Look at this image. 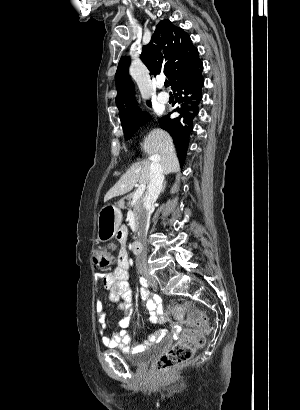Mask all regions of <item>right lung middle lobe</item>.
Segmentation results:
<instances>
[{
	"label": "right lung middle lobe",
	"instance_id": "dd1d6c3e",
	"mask_svg": "<svg viewBox=\"0 0 300 410\" xmlns=\"http://www.w3.org/2000/svg\"><path fill=\"white\" fill-rule=\"evenodd\" d=\"M150 106V104H148ZM151 119V116L146 113V112H142L141 110L135 115V117H133L130 120H127L122 124L123 127V131H124V137L126 140H128L130 137H132V135L134 134V132L140 127L142 126L145 122L149 121Z\"/></svg>",
	"mask_w": 300,
	"mask_h": 410
}]
</instances>
